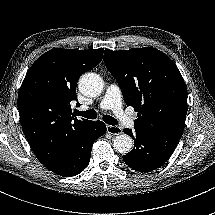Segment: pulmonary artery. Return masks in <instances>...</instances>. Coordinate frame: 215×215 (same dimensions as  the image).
I'll return each instance as SVG.
<instances>
[{"label":"pulmonary artery","mask_w":215,"mask_h":215,"mask_svg":"<svg viewBox=\"0 0 215 215\" xmlns=\"http://www.w3.org/2000/svg\"><path fill=\"white\" fill-rule=\"evenodd\" d=\"M100 107L102 109H112L118 117V124L122 128H129L136 118L134 112H126L122 109L121 93L116 85L108 86ZM86 107H80L79 110L84 111Z\"/></svg>","instance_id":"obj_1"}]
</instances>
